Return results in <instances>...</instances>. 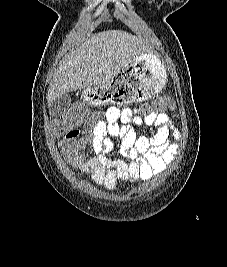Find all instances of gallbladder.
Here are the masks:
<instances>
[{"label":"gallbladder","instance_id":"obj_1","mask_svg":"<svg viewBox=\"0 0 227 267\" xmlns=\"http://www.w3.org/2000/svg\"><path fill=\"white\" fill-rule=\"evenodd\" d=\"M71 103V97L68 93L58 96L50 105V111L53 116L62 114Z\"/></svg>","mask_w":227,"mask_h":267}]
</instances>
